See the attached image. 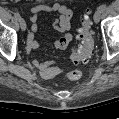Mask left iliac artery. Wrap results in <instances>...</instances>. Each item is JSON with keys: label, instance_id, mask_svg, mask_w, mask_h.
<instances>
[{"label": "left iliac artery", "instance_id": "obj_1", "mask_svg": "<svg viewBox=\"0 0 119 119\" xmlns=\"http://www.w3.org/2000/svg\"><path fill=\"white\" fill-rule=\"evenodd\" d=\"M98 9H100L103 12L106 9V5L102 4Z\"/></svg>", "mask_w": 119, "mask_h": 119}]
</instances>
